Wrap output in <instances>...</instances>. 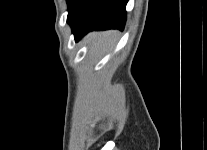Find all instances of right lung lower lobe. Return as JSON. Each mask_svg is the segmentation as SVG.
<instances>
[{"mask_svg": "<svg viewBox=\"0 0 207 150\" xmlns=\"http://www.w3.org/2000/svg\"><path fill=\"white\" fill-rule=\"evenodd\" d=\"M127 0H74L67 22L78 41L93 30L123 29Z\"/></svg>", "mask_w": 207, "mask_h": 150, "instance_id": "obj_1", "label": "right lung lower lobe"}]
</instances>
